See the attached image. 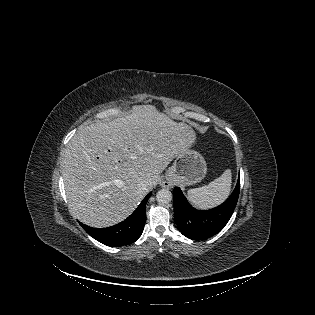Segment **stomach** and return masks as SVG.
<instances>
[{
  "label": "stomach",
  "instance_id": "1",
  "mask_svg": "<svg viewBox=\"0 0 315 315\" xmlns=\"http://www.w3.org/2000/svg\"><path fill=\"white\" fill-rule=\"evenodd\" d=\"M204 158L196 151L188 150L176 157L166 173V180L183 186L200 182L206 175Z\"/></svg>",
  "mask_w": 315,
  "mask_h": 315
}]
</instances>
